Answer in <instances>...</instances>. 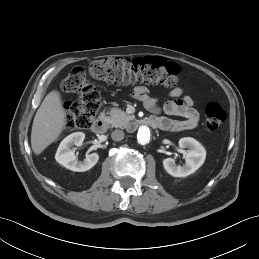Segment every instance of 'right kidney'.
<instances>
[{
	"instance_id": "1",
	"label": "right kidney",
	"mask_w": 259,
	"mask_h": 259,
	"mask_svg": "<svg viewBox=\"0 0 259 259\" xmlns=\"http://www.w3.org/2000/svg\"><path fill=\"white\" fill-rule=\"evenodd\" d=\"M84 139L85 134L83 132H75L64 138L57 149L56 161L76 172H84L91 169L97 163L99 155L97 153L89 154L82 162L77 160L73 150V146H81Z\"/></svg>"
}]
</instances>
